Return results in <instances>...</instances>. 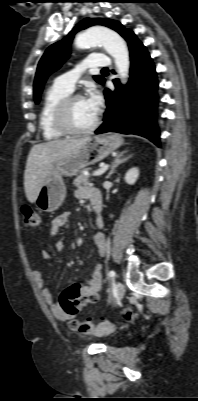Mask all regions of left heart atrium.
I'll return each instance as SVG.
<instances>
[{
  "mask_svg": "<svg viewBox=\"0 0 198 401\" xmlns=\"http://www.w3.org/2000/svg\"><path fill=\"white\" fill-rule=\"evenodd\" d=\"M86 99L90 106L98 113L102 105V96L100 92L97 89L92 88Z\"/></svg>",
  "mask_w": 198,
  "mask_h": 401,
  "instance_id": "39dd6f15",
  "label": "left heart atrium"
}]
</instances>
